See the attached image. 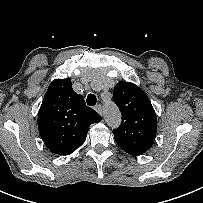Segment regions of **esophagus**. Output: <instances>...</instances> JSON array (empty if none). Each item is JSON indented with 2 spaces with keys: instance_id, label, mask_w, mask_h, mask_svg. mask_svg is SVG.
Masks as SVG:
<instances>
[{
  "instance_id": "obj_1",
  "label": "esophagus",
  "mask_w": 203,
  "mask_h": 203,
  "mask_svg": "<svg viewBox=\"0 0 203 203\" xmlns=\"http://www.w3.org/2000/svg\"><path fill=\"white\" fill-rule=\"evenodd\" d=\"M95 110L102 116L103 115V108L101 105L95 106Z\"/></svg>"
}]
</instances>
